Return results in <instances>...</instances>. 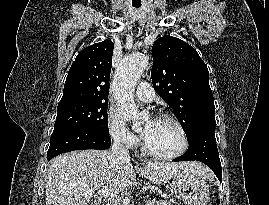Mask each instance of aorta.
<instances>
[{
	"instance_id": "762f6f07",
	"label": "aorta",
	"mask_w": 269,
	"mask_h": 205,
	"mask_svg": "<svg viewBox=\"0 0 269 205\" xmlns=\"http://www.w3.org/2000/svg\"><path fill=\"white\" fill-rule=\"evenodd\" d=\"M148 62L149 58L145 54L128 55L122 60L115 74L112 89L118 113L126 121L137 123L141 119L133 101V90Z\"/></svg>"
}]
</instances>
